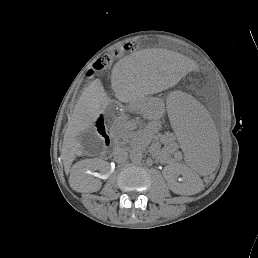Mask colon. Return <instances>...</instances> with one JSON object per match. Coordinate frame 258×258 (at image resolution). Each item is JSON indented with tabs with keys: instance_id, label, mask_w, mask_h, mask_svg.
Here are the masks:
<instances>
[{
	"instance_id": "5ec220e1",
	"label": "colon",
	"mask_w": 258,
	"mask_h": 258,
	"mask_svg": "<svg viewBox=\"0 0 258 258\" xmlns=\"http://www.w3.org/2000/svg\"><path fill=\"white\" fill-rule=\"evenodd\" d=\"M135 47H136V43L130 42V43L125 44L120 50H116L114 52V54H112V55H109V54L102 55L95 61L94 65L91 69V73H96V72H101V71L107 70L111 65L114 55L118 54L120 51L131 50Z\"/></svg>"
}]
</instances>
